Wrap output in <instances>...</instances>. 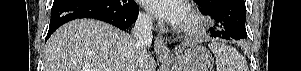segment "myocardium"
Listing matches in <instances>:
<instances>
[{
    "mask_svg": "<svg viewBox=\"0 0 301 71\" xmlns=\"http://www.w3.org/2000/svg\"><path fill=\"white\" fill-rule=\"evenodd\" d=\"M205 26V20L200 13L192 8L187 10V19L185 24L182 26L183 33L193 35L202 31Z\"/></svg>",
    "mask_w": 301,
    "mask_h": 71,
    "instance_id": "myocardium-1",
    "label": "myocardium"
}]
</instances>
